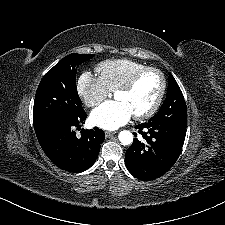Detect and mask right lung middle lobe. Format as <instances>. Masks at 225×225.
<instances>
[{"instance_id": "obj_1", "label": "right lung middle lobe", "mask_w": 225, "mask_h": 225, "mask_svg": "<svg viewBox=\"0 0 225 225\" xmlns=\"http://www.w3.org/2000/svg\"><path fill=\"white\" fill-rule=\"evenodd\" d=\"M93 57V54H69L43 76L34 100L35 130L83 110L76 87V73L80 64Z\"/></svg>"}]
</instances>
